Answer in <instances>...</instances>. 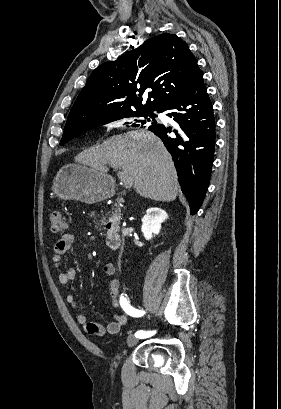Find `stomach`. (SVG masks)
Returning <instances> with one entry per match:
<instances>
[{"mask_svg":"<svg viewBox=\"0 0 281 409\" xmlns=\"http://www.w3.org/2000/svg\"><path fill=\"white\" fill-rule=\"evenodd\" d=\"M52 190L63 200L99 202L115 192V182L111 176L88 166V164H65L58 170Z\"/></svg>","mask_w":281,"mask_h":409,"instance_id":"1","label":"stomach"}]
</instances>
